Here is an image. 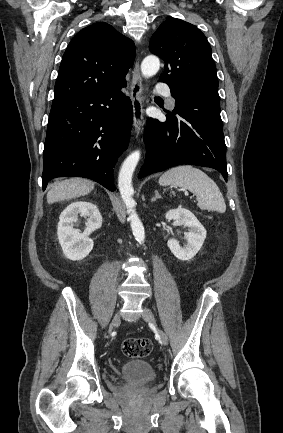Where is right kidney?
<instances>
[{
	"mask_svg": "<svg viewBox=\"0 0 283 433\" xmlns=\"http://www.w3.org/2000/svg\"><path fill=\"white\" fill-rule=\"evenodd\" d=\"M87 219L83 233L74 228L78 216ZM57 235L63 254L70 260H82L93 249V241L89 235L102 225V216L96 205L76 201L68 205L59 217Z\"/></svg>",
	"mask_w": 283,
	"mask_h": 433,
	"instance_id": "obj_1",
	"label": "right kidney"
}]
</instances>
